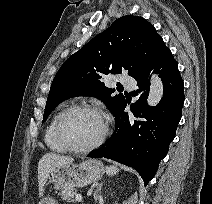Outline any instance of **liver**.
<instances>
[{"mask_svg":"<svg viewBox=\"0 0 212 204\" xmlns=\"http://www.w3.org/2000/svg\"><path fill=\"white\" fill-rule=\"evenodd\" d=\"M72 157L62 156L55 153H47L42 156L38 163V186L39 195H42L44 186L48 179L50 172L61 165L73 163Z\"/></svg>","mask_w":212,"mask_h":204,"instance_id":"liver-1","label":"liver"}]
</instances>
